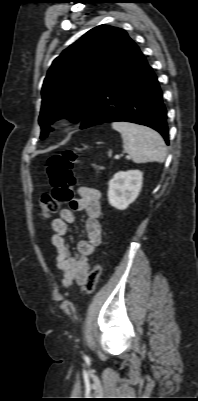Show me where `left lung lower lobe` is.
I'll return each mask as SVG.
<instances>
[{"mask_svg":"<svg viewBox=\"0 0 198 401\" xmlns=\"http://www.w3.org/2000/svg\"><path fill=\"white\" fill-rule=\"evenodd\" d=\"M166 118L157 77L136 45L97 94L80 128L132 122L157 130L169 144Z\"/></svg>","mask_w":198,"mask_h":401,"instance_id":"left-lung-lower-lobe-1","label":"left lung lower lobe"}]
</instances>
